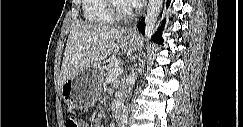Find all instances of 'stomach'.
I'll list each match as a JSON object with an SVG mask.
<instances>
[{
  "label": "stomach",
  "instance_id": "0dacf381",
  "mask_svg": "<svg viewBox=\"0 0 243 127\" xmlns=\"http://www.w3.org/2000/svg\"><path fill=\"white\" fill-rule=\"evenodd\" d=\"M138 37L125 35L120 39V47L131 50ZM105 68L100 63L92 64L66 80L61 86V96L67 106L73 109H87L97 101L104 80Z\"/></svg>",
  "mask_w": 243,
  "mask_h": 127
}]
</instances>
